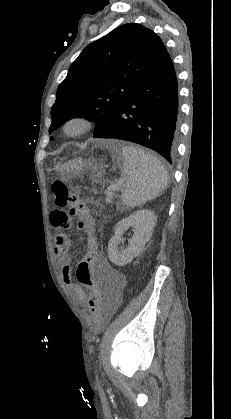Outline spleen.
Instances as JSON below:
<instances>
[{
    "instance_id": "3e777b00",
    "label": "spleen",
    "mask_w": 231,
    "mask_h": 419,
    "mask_svg": "<svg viewBox=\"0 0 231 419\" xmlns=\"http://www.w3.org/2000/svg\"><path fill=\"white\" fill-rule=\"evenodd\" d=\"M122 202L128 208L141 206L159 196L167 187L169 176L163 164L151 153L135 146H123Z\"/></svg>"
}]
</instances>
